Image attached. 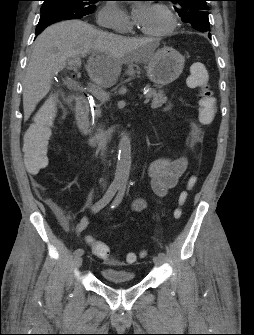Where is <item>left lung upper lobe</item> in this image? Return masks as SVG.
<instances>
[{
    "mask_svg": "<svg viewBox=\"0 0 254 335\" xmlns=\"http://www.w3.org/2000/svg\"><path fill=\"white\" fill-rule=\"evenodd\" d=\"M176 6L174 9L178 12L183 22L190 23L193 28L201 32H208L210 28L208 9L206 1L208 0H169ZM210 36V34H209Z\"/></svg>",
    "mask_w": 254,
    "mask_h": 335,
    "instance_id": "obj_1",
    "label": "left lung upper lobe"
}]
</instances>
